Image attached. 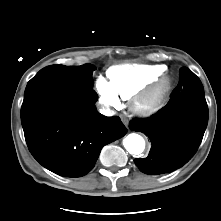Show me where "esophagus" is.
Returning a JSON list of instances; mask_svg holds the SVG:
<instances>
[{"label": "esophagus", "instance_id": "34e87169", "mask_svg": "<svg viewBox=\"0 0 221 221\" xmlns=\"http://www.w3.org/2000/svg\"><path fill=\"white\" fill-rule=\"evenodd\" d=\"M121 120H122V122L125 124V126L128 127V125H129L128 119H127L126 117L122 116V117H121Z\"/></svg>", "mask_w": 221, "mask_h": 221}]
</instances>
